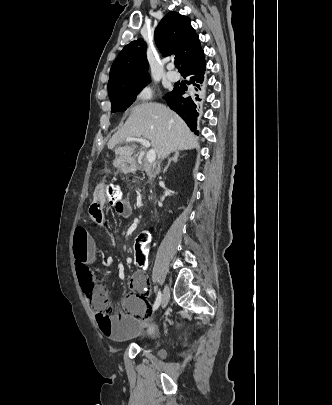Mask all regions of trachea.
<instances>
[{"instance_id":"obj_1","label":"trachea","mask_w":332,"mask_h":405,"mask_svg":"<svg viewBox=\"0 0 332 405\" xmlns=\"http://www.w3.org/2000/svg\"><path fill=\"white\" fill-rule=\"evenodd\" d=\"M175 67H176V68H179V67H180V64H179L178 62H175Z\"/></svg>"}]
</instances>
